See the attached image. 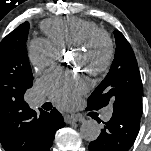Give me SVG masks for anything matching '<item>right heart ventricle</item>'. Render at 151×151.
I'll list each match as a JSON object with an SVG mask.
<instances>
[{
	"label": "right heart ventricle",
	"instance_id": "e07e8e85",
	"mask_svg": "<svg viewBox=\"0 0 151 151\" xmlns=\"http://www.w3.org/2000/svg\"><path fill=\"white\" fill-rule=\"evenodd\" d=\"M94 22L76 17L50 19L42 24V30L59 50L72 48L81 43L90 33L99 30Z\"/></svg>",
	"mask_w": 151,
	"mask_h": 151
}]
</instances>
